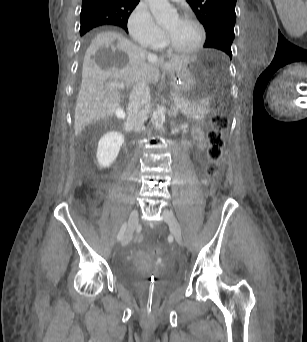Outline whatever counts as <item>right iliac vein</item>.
I'll list each match as a JSON object with an SVG mask.
<instances>
[{
	"instance_id": "right-iliac-vein-1",
	"label": "right iliac vein",
	"mask_w": 307,
	"mask_h": 342,
	"mask_svg": "<svg viewBox=\"0 0 307 342\" xmlns=\"http://www.w3.org/2000/svg\"><path fill=\"white\" fill-rule=\"evenodd\" d=\"M138 221H139L138 211L136 209H134L131 211V213L129 215L128 227H127L126 233L122 239V245L127 244L131 240V238H132V236H133V234H134V232L138 226Z\"/></svg>"
}]
</instances>
